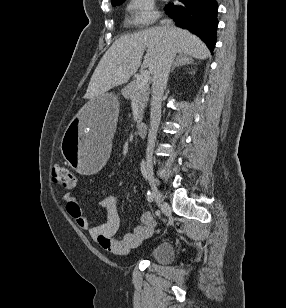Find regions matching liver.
Returning a JSON list of instances; mask_svg holds the SVG:
<instances>
[{
    "mask_svg": "<svg viewBox=\"0 0 286 308\" xmlns=\"http://www.w3.org/2000/svg\"><path fill=\"white\" fill-rule=\"evenodd\" d=\"M172 42L176 53L196 59H206L210 52L206 45L189 31L172 27H153L135 34L125 35L114 41L96 67L85 97L95 102L110 89L127 83L141 66L153 71L163 56L168 43Z\"/></svg>",
    "mask_w": 286,
    "mask_h": 308,
    "instance_id": "obj_1",
    "label": "liver"
}]
</instances>
